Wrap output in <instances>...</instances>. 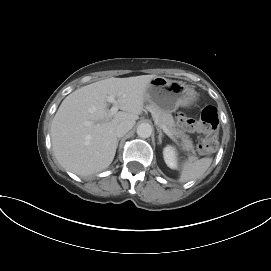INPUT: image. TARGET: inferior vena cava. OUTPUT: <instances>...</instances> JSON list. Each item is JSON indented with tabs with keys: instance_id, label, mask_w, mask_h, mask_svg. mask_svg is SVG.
<instances>
[{
	"instance_id": "602c4592",
	"label": "inferior vena cava",
	"mask_w": 271,
	"mask_h": 271,
	"mask_svg": "<svg viewBox=\"0 0 271 271\" xmlns=\"http://www.w3.org/2000/svg\"><path fill=\"white\" fill-rule=\"evenodd\" d=\"M133 126L134 123L131 121H123L119 123L116 127V136L119 138L124 136L129 130L132 129Z\"/></svg>"
}]
</instances>
